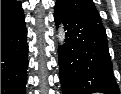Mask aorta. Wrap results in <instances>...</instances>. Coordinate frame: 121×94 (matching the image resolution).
I'll return each mask as SVG.
<instances>
[{"label":"aorta","instance_id":"obj_1","mask_svg":"<svg viewBox=\"0 0 121 94\" xmlns=\"http://www.w3.org/2000/svg\"><path fill=\"white\" fill-rule=\"evenodd\" d=\"M58 35H59V41L62 43L64 41V32L62 28H59Z\"/></svg>","mask_w":121,"mask_h":94}]
</instances>
